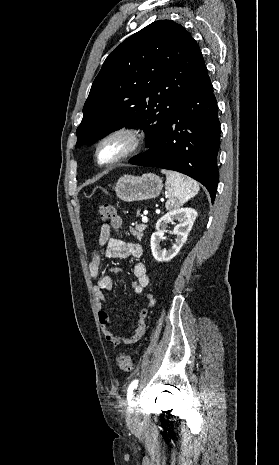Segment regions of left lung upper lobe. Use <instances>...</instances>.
I'll return each mask as SVG.
<instances>
[{"instance_id": "1", "label": "left lung upper lobe", "mask_w": 279, "mask_h": 465, "mask_svg": "<svg viewBox=\"0 0 279 465\" xmlns=\"http://www.w3.org/2000/svg\"><path fill=\"white\" fill-rule=\"evenodd\" d=\"M202 61L191 34L171 20L155 21L127 38L92 84L76 147L132 126L144 129L150 148L180 109Z\"/></svg>"}]
</instances>
